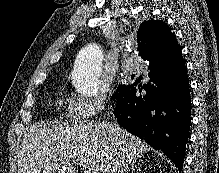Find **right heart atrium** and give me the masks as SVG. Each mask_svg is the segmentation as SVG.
I'll return each instance as SVG.
<instances>
[{"label":"right heart atrium","mask_w":219,"mask_h":173,"mask_svg":"<svg viewBox=\"0 0 219 173\" xmlns=\"http://www.w3.org/2000/svg\"><path fill=\"white\" fill-rule=\"evenodd\" d=\"M107 101L108 92L106 89L91 97L72 94L69 101V112L79 120H88L102 112Z\"/></svg>","instance_id":"1"}]
</instances>
